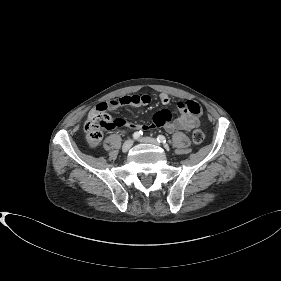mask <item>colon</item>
<instances>
[{"label": "colon", "instance_id": "colon-1", "mask_svg": "<svg viewBox=\"0 0 281 281\" xmlns=\"http://www.w3.org/2000/svg\"><path fill=\"white\" fill-rule=\"evenodd\" d=\"M116 127V119L104 110L95 108L90 111L84 124L86 140L91 147H96L103 139L104 132ZM205 135L201 129H194L192 140L194 144H201Z\"/></svg>", "mask_w": 281, "mask_h": 281}]
</instances>
